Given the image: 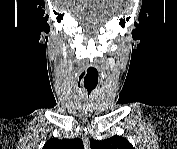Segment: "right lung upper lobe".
<instances>
[{
  "mask_svg": "<svg viewBox=\"0 0 177 149\" xmlns=\"http://www.w3.org/2000/svg\"><path fill=\"white\" fill-rule=\"evenodd\" d=\"M43 149H83V142L79 138L74 139H49Z\"/></svg>",
  "mask_w": 177,
  "mask_h": 149,
  "instance_id": "cb5924a9",
  "label": "right lung upper lobe"
}]
</instances>
